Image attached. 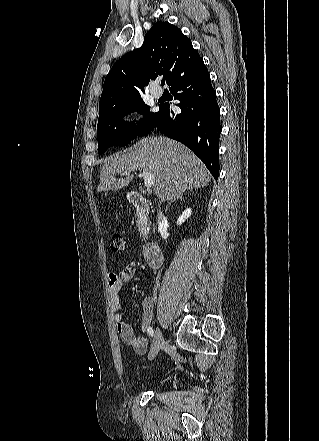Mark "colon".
<instances>
[{"instance_id": "obj_1", "label": "colon", "mask_w": 319, "mask_h": 441, "mask_svg": "<svg viewBox=\"0 0 319 441\" xmlns=\"http://www.w3.org/2000/svg\"><path fill=\"white\" fill-rule=\"evenodd\" d=\"M110 248L113 252H123L126 250V241L121 234H111Z\"/></svg>"}]
</instances>
